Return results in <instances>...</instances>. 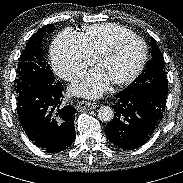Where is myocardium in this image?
I'll list each match as a JSON object with an SVG mask.
<instances>
[{"label":"myocardium","instance_id":"obj_1","mask_svg":"<svg viewBox=\"0 0 183 183\" xmlns=\"http://www.w3.org/2000/svg\"><path fill=\"white\" fill-rule=\"evenodd\" d=\"M130 40L139 41L142 44L143 52H142V55H141V58H140L138 64L136 65L134 70L129 75H127L126 77H124L122 79L112 82V84L115 87H123V86L131 84L132 82H134L137 79V77L142 72V70L145 66V63L147 61V56H148V47H147V44L144 41V39H142L141 37H139L137 35L121 37V38L117 39L116 41H114L111 45H109L103 51H101L95 58V63H96V65H98L103 59L113 55L123 43L130 41Z\"/></svg>","mask_w":183,"mask_h":183}]
</instances>
